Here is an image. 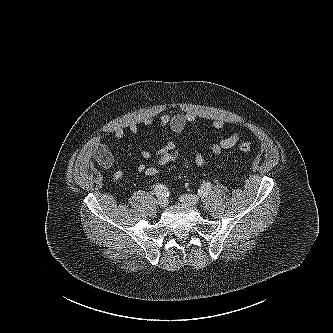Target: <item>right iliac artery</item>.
<instances>
[{
  "mask_svg": "<svg viewBox=\"0 0 333 333\" xmlns=\"http://www.w3.org/2000/svg\"><path fill=\"white\" fill-rule=\"evenodd\" d=\"M154 191L158 197L166 198L169 196V191L164 185L161 184L156 185Z\"/></svg>",
  "mask_w": 333,
  "mask_h": 333,
  "instance_id": "82829eb1",
  "label": "right iliac artery"
}]
</instances>
